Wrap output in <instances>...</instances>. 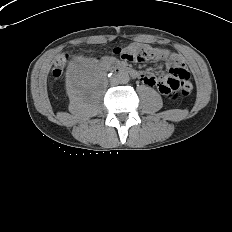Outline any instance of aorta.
I'll list each match as a JSON object with an SVG mask.
<instances>
[{"mask_svg": "<svg viewBox=\"0 0 232 232\" xmlns=\"http://www.w3.org/2000/svg\"><path fill=\"white\" fill-rule=\"evenodd\" d=\"M116 79L119 83L121 84H126L128 83L129 81V75L127 72H119L117 75H116Z\"/></svg>", "mask_w": 232, "mask_h": 232, "instance_id": "1", "label": "aorta"}]
</instances>
